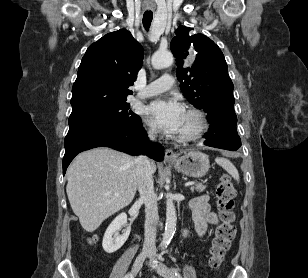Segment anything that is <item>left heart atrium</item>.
<instances>
[{"label": "left heart atrium", "mask_w": 308, "mask_h": 278, "mask_svg": "<svg viewBox=\"0 0 308 278\" xmlns=\"http://www.w3.org/2000/svg\"><path fill=\"white\" fill-rule=\"evenodd\" d=\"M185 109L175 100H157L146 109L148 119L169 133L179 132Z\"/></svg>", "instance_id": "obj_1"}]
</instances>
